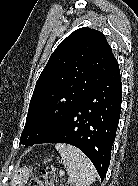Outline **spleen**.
Returning <instances> with one entry per match:
<instances>
[{"mask_svg":"<svg viewBox=\"0 0 138 186\" xmlns=\"http://www.w3.org/2000/svg\"><path fill=\"white\" fill-rule=\"evenodd\" d=\"M55 148L61 155L71 185L90 186L95 181L97 171L82 151L68 144H57Z\"/></svg>","mask_w":138,"mask_h":186,"instance_id":"3e777b00","label":"spleen"}]
</instances>
